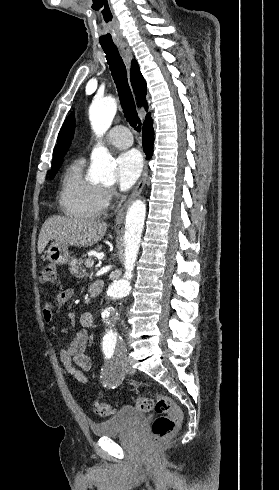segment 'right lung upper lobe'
<instances>
[{"mask_svg": "<svg viewBox=\"0 0 279 490\" xmlns=\"http://www.w3.org/2000/svg\"><path fill=\"white\" fill-rule=\"evenodd\" d=\"M131 84L135 92V95L137 97L138 105L139 106L144 105L145 108L147 109V104L145 103L146 82L143 76L141 75L139 66L135 60L132 61ZM151 124H152V119L150 118V114L148 113L143 123V128ZM73 132H74V118L71 115L65 120L58 134L57 145L55 146L54 153H53V163H52L51 170L61 166L63 162V156L66 154L67 149L70 145Z\"/></svg>", "mask_w": 279, "mask_h": 490, "instance_id": "right-lung-upper-lobe-1", "label": "right lung upper lobe"}]
</instances>
